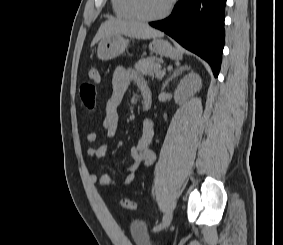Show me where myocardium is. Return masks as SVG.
Instances as JSON below:
<instances>
[{"label": "myocardium", "mask_w": 283, "mask_h": 245, "mask_svg": "<svg viewBox=\"0 0 283 245\" xmlns=\"http://www.w3.org/2000/svg\"><path fill=\"white\" fill-rule=\"evenodd\" d=\"M128 1H129V8L133 13V15L135 16V18L144 22H153L164 19L170 14L176 2V0H169L167 6L161 13L154 16H147L140 11L138 0H128Z\"/></svg>", "instance_id": "f54148a6"}]
</instances>
